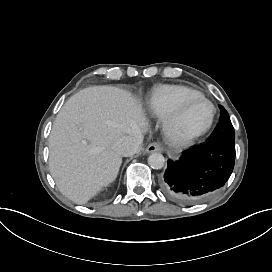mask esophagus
Returning a JSON list of instances; mask_svg holds the SVG:
<instances>
[{"instance_id": "1", "label": "esophagus", "mask_w": 272, "mask_h": 272, "mask_svg": "<svg viewBox=\"0 0 272 272\" xmlns=\"http://www.w3.org/2000/svg\"><path fill=\"white\" fill-rule=\"evenodd\" d=\"M162 151H163V147L159 142H153L149 144L148 147L146 148L147 153L162 152Z\"/></svg>"}]
</instances>
